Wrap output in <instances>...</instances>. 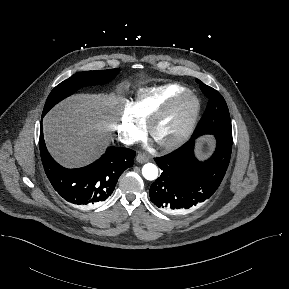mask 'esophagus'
<instances>
[{
	"label": "esophagus",
	"instance_id": "obj_1",
	"mask_svg": "<svg viewBox=\"0 0 289 289\" xmlns=\"http://www.w3.org/2000/svg\"><path fill=\"white\" fill-rule=\"evenodd\" d=\"M148 157L147 156H145L144 154H141V153H139V154H137V156H136V161L138 162V163H145V162H148Z\"/></svg>",
	"mask_w": 289,
	"mask_h": 289
}]
</instances>
